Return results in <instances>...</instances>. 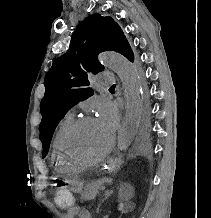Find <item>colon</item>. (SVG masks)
Here are the masks:
<instances>
[{
    "mask_svg": "<svg viewBox=\"0 0 211 218\" xmlns=\"http://www.w3.org/2000/svg\"><path fill=\"white\" fill-rule=\"evenodd\" d=\"M54 199L60 208H72L75 206V197L72 191L64 185L58 186Z\"/></svg>",
    "mask_w": 211,
    "mask_h": 218,
    "instance_id": "5ec220e1",
    "label": "colon"
}]
</instances>
